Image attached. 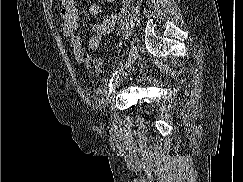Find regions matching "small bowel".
Wrapping results in <instances>:
<instances>
[{"instance_id":"1","label":"small bowel","mask_w":243,"mask_h":182,"mask_svg":"<svg viewBox=\"0 0 243 182\" xmlns=\"http://www.w3.org/2000/svg\"><path fill=\"white\" fill-rule=\"evenodd\" d=\"M115 0H106V2H113ZM101 12V7L98 4H91L89 6V13L93 16ZM61 31L68 38L72 48L73 55L77 62L86 66L90 64L91 55L88 50H96L104 36L108 35L114 26L115 17L111 16L108 19L93 26L94 34L88 40V50L83 45L82 39L77 33L80 26V12L77 0H61Z\"/></svg>"}]
</instances>
